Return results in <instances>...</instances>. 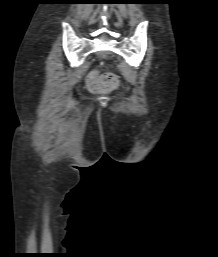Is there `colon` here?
Returning <instances> with one entry per match:
<instances>
[{"mask_svg":"<svg viewBox=\"0 0 218 257\" xmlns=\"http://www.w3.org/2000/svg\"><path fill=\"white\" fill-rule=\"evenodd\" d=\"M89 87L93 91H108L118 87V79L114 74L108 73L102 76L92 74L88 81Z\"/></svg>","mask_w":218,"mask_h":257,"instance_id":"1","label":"colon"}]
</instances>
